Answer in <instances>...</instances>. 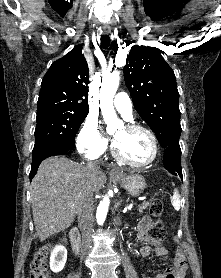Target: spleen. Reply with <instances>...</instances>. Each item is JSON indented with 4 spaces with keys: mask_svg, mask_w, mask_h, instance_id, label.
Returning a JSON list of instances; mask_svg holds the SVG:
<instances>
[{
    "mask_svg": "<svg viewBox=\"0 0 221 278\" xmlns=\"http://www.w3.org/2000/svg\"><path fill=\"white\" fill-rule=\"evenodd\" d=\"M172 205L176 211L180 209V195L177 190H174L173 196L171 198Z\"/></svg>",
    "mask_w": 221,
    "mask_h": 278,
    "instance_id": "spleen-1",
    "label": "spleen"
}]
</instances>
